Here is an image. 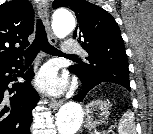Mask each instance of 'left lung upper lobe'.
Here are the masks:
<instances>
[{"mask_svg":"<svg viewBox=\"0 0 153 134\" xmlns=\"http://www.w3.org/2000/svg\"><path fill=\"white\" fill-rule=\"evenodd\" d=\"M52 7H68L74 11L79 25L73 37L89 54L85 58L87 63L73 65L70 69L87 81L130 87L127 55L115 19L86 0H54Z\"/></svg>","mask_w":153,"mask_h":134,"instance_id":"obj_1","label":"left lung upper lobe"}]
</instances>
